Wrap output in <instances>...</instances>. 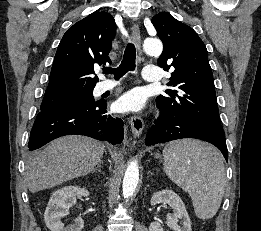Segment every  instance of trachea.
<instances>
[{
    "instance_id": "1",
    "label": "trachea",
    "mask_w": 261,
    "mask_h": 231,
    "mask_svg": "<svg viewBox=\"0 0 261 231\" xmlns=\"http://www.w3.org/2000/svg\"><path fill=\"white\" fill-rule=\"evenodd\" d=\"M136 49L134 44L128 43L124 51L123 60L117 69L103 68V73L114 74L116 80L120 79L128 71H134L136 64Z\"/></svg>"
}]
</instances>
